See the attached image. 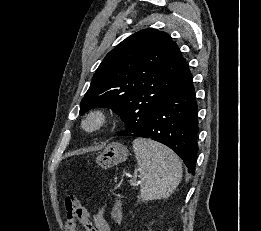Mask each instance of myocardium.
Segmentation results:
<instances>
[{"instance_id": "f54148a6", "label": "myocardium", "mask_w": 261, "mask_h": 231, "mask_svg": "<svg viewBox=\"0 0 261 231\" xmlns=\"http://www.w3.org/2000/svg\"><path fill=\"white\" fill-rule=\"evenodd\" d=\"M112 116L110 112L102 107L89 110L81 119V130L93 133L101 130L110 123Z\"/></svg>"}]
</instances>
